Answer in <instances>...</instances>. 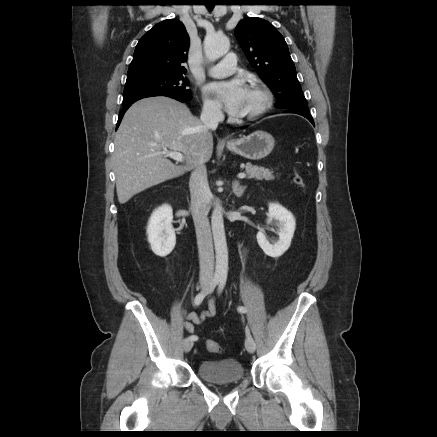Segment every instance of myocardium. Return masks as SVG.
I'll return each instance as SVG.
<instances>
[{
  "label": "myocardium",
  "mask_w": 437,
  "mask_h": 437,
  "mask_svg": "<svg viewBox=\"0 0 437 437\" xmlns=\"http://www.w3.org/2000/svg\"><path fill=\"white\" fill-rule=\"evenodd\" d=\"M249 89L257 91L261 95L262 101L259 107L253 112L239 116L238 120L240 121H253L260 118L270 109L273 103L272 94L267 87L254 83L250 85Z\"/></svg>",
  "instance_id": "myocardium-1"
}]
</instances>
